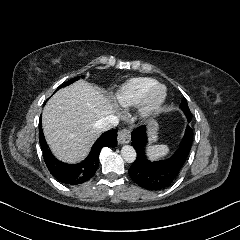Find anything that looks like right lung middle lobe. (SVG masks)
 I'll use <instances>...</instances> for the list:
<instances>
[{"instance_id": "dd1d6c3e", "label": "right lung middle lobe", "mask_w": 240, "mask_h": 240, "mask_svg": "<svg viewBox=\"0 0 240 240\" xmlns=\"http://www.w3.org/2000/svg\"><path fill=\"white\" fill-rule=\"evenodd\" d=\"M78 79H79V77H75V78L67 81V82L64 83L63 85H61L59 88H62V87L67 86V85H70V84H72L74 81H77Z\"/></svg>"}]
</instances>
